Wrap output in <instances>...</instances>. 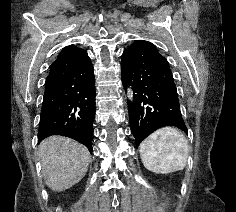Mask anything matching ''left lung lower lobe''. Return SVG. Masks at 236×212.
<instances>
[{
  "label": "left lung lower lobe",
  "mask_w": 236,
  "mask_h": 212,
  "mask_svg": "<svg viewBox=\"0 0 236 212\" xmlns=\"http://www.w3.org/2000/svg\"><path fill=\"white\" fill-rule=\"evenodd\" d=\"M123 86L133 90L128 101L129 121L136 147L155 130L176 126L187 133L169 63L156 46L137 40L122 54Z\"/></svg>",
  "instance_id": "0a47b994"
}]
</instances>
